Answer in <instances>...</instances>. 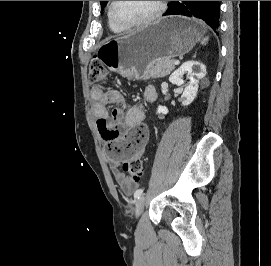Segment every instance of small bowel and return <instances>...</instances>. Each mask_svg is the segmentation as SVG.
I'll return each mask as SVG.
<instances>
[{
  "label": "small bowel",
  "mask_w": 271,
  "mask_h": 266,
  "mask_svg": "<svg viewBox=\"0 0 271 266\" xmlns=\"http://www.w3.org/2000/svg\"><path fill=\"white\" fill-rule=\"evenodd\" d=\"M91 97L99 134L107 144L113 177L125 194H131L138 183L125 176L120 170V164L144 155L148 141L144 106H128L118 90L104 91L100 86L92 87ZM144 97L147 102L154 101L155 90L152 87L146 88ZM108 105H114L111 115L108 113Z\"/></svg>",
  "instance_id": "obj_1"
}]
</instances>
